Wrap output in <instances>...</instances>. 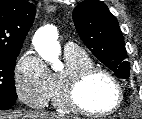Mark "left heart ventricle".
Returning a JSON list of instances; mask_svg holds the SVG:
<instances>
[{
    "label": "left heart ventricle",
    "instance_id": "1",
    "mask_svg": "<svg viewBox=\"0 0 142 119\" xmlns=\"http://www.w3.org/2000/svg\"><path fill=\"white\" fill-rule=\"evenodd\" d=\"M80 100L85 107L92 111H106L115 105L117 90L107 77L96 75L81 90Z\"/></svg>",
    "mask_w": 142,
    "mask_h": 119
}]
</instances>
